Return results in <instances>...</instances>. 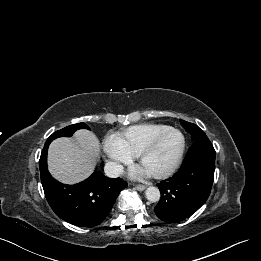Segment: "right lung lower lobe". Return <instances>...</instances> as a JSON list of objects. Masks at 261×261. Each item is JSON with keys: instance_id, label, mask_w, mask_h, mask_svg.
<instances>
[{"instance_id": "98d812e1", "label": "right lung lower lobe", "mask_w": 261, "mask_h": 261, "mask_svg": "<svg viewBox=\"0 0 261 261\" xmlns=\"http://www.w3.org/2000/svg\"><path fill=\"white\" fill-rule=\"evenodd\" d=\"M50 143L46 141L39 160L41 183L49 205L57 216L71 224L81 227L100 224L127 183L120 178H108L101 172H94L88 179L75 185L57 182L47 169Z\"/></svg>"}]
</instances>
